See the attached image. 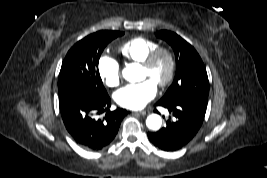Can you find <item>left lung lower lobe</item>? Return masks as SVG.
<instances>
[{
    "label": "left lung lower lobe",
    "instance_id": "left-lung-lower-lobe-1",
    "mask_svg": "<svg viewBox=\"0 0 267 178\" xmlns=\"http://www.w3.org/2000/svg\"><path fill=\"white\" fill-rule=\"evenodd\" d=\"M175 117L157 132L148 133L150 141L164 151H176L187 145L201 128L207 104L197 100L158 101ZM155 112H158L155 109Z\"/></svg>",
    "mask_w": 267,
    "mask_h": 178
}]
</instances>
